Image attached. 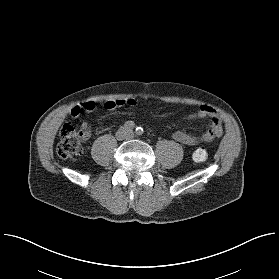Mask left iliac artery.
<instances>
[{
  "label": "left iliac artery",
  "instance_id": "44dca946",
  "mask_svg": "<svg viewBox=\"0 0 279 279\" xmlns=\"http://www.w3.org/2000/svg\"><path fill=\"white\" fill-rule=\"evenodd\" d=\"M136 134L137 135H142L143 134V128H141V127L136 128Z\"/></svg>",
  "mask_w": 279,
  "mask_h": 279
}]
</instances>
